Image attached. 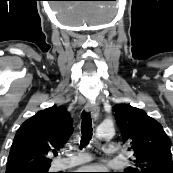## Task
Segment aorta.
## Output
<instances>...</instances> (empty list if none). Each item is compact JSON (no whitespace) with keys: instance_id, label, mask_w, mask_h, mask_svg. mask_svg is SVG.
Returning a JSON list of instances; mask_svg holds the SVG:
<instances>
[{"instance_id":"1","label":"aorta","mask_w":173,"mask_h":173,"mask_svg":"<svg viewBox=\"0 0 173 173\" xmlns=\"http://www.w3.org/2000/svg\"><path fill=\"white\" fill-rule=\"evenodd\" d=\"M96 133L99 138H111L115 134V129L112 123H102L97 127Z\"/></svg>"}]
</instances>
